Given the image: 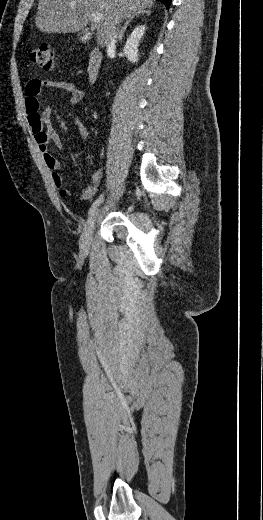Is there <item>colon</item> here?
I'll return each instance as SVG.
<instances>
[{
  "instance_id": "obj_1",
  "label": "colon",
  "mask_w": 263,
  "mask_h": 520,
  "mask_svg": "<svg viewBox=\"0 0 263 520\" xmlns=\"http://www.w3.org/2000/svg\"><path fill=\"white\" fill-rule=\"evenodd\" d=\"M29 57L32 62L44 70L48 71L55 68L54 50L48 44H41L39 47L31 50Z\"/></svg>"
}]
</instances>
